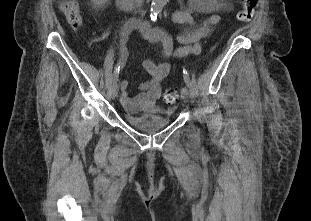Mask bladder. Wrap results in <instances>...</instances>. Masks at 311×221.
<instances>
[{
	"label": "bladder",
	"instance_id": "bladder-1",
	"mask_svg": "<svg viewBox=\"0 0 311 221\" xmlns=\"http://www.w3.org/2000/svg\"><path fill=\"white\" fill-rule=\"evenodd\" d=\"M170 108H155L153 112H144L140 114L123 108L122 114L127 125L137 128V130L146 135L156 134L159 130L168 127L172 123L170 117H163V115H170Z\"/></svg>",
	"mask_w": 311,
	"mask_h": 221
}]
</instances>
